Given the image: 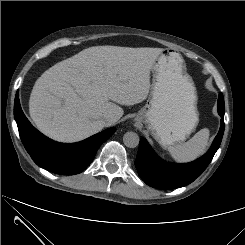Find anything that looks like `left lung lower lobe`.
Segmentation results:
<instances>
[{
    "instance_id": "left-lung-lower-lobe-1",
    "label": "left lung lower lobe",
    "mask_w": 245,
    "mask_h": 245,
    "mask_svg": "<svg viewBox=\"0 0 245 245\" xmlns=\"http://www.w3.org/2000/svg\"><path fill=\"white\" fill-rule=\"evenodd\" d=\"M224 98H218V113L221 116V127L212 146L202 157L186 164L169 163L159 158L151 146L142 139L140 141L135 166L141 179L149 186L171 190L186 186L193 182L211 162L218 150L224 133Z\"/></svg>"
}]
</instances>
